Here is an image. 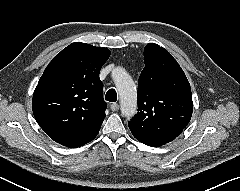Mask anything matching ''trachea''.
Instances as JSON below:
<instances>
[{"label":"trachea","instance_id":"obj_1","mask_svg":"<svg viewBox=\"0 0 240 191\" xmlns=\"http://www.w3.org/2000/svg\"><path fill=\"white\" fill-rule=\"evenodd\" d=\"M105 99L109 102H116L117 93H116L115 89H109L105 95Z\"/></svg>","mask_w":240,"mask_h":191}]
</instances>
